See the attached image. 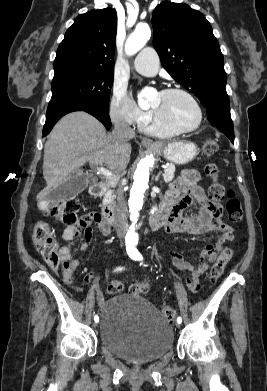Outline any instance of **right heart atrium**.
I'll return each mask as SVG.
<instances>
[{"mask_svg": "<svg viewBox=\"0 0 267 391\" xmlns=\"http://www.w3.org/2000/svg\"><path fill=\"white\" fill-rule=\"evenodd\" d=\"M109 115L114 123L132 127H141L151 118L149 111L139 108L131 98L118 89L113 91Z\"/></svg>", "mask_w": 267, "mask_h": 391, "instance_id": "d8ad5b80", "label": "right heart atrium"}]
</instances>
